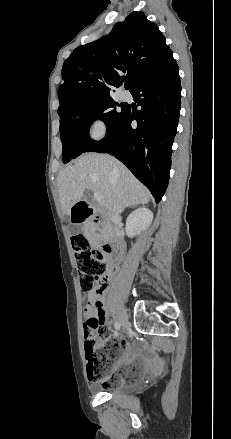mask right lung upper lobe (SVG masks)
I'll use <instances>...</instances> for the list:
<instances>
[{
    "label": "right lung upper lobe",
    "mask_w": 231,
    "mask_h": 439,
    "mask_svg": "<svg viewBox=\"0 0 231 439\" xmlns=\"http://www.w3.org/2000/svg\"><path fill=\"white\" fill-rule=\"evenodd\" d=\"M171 57L157 25L143 12H132L108 35L79 46L64 62L58 113L84 101L111 97L112 89L122 84L121 72L127 71L125 87L131 91Z\"/></svg>",
    "instance_id": "1"
}]
</instances>
